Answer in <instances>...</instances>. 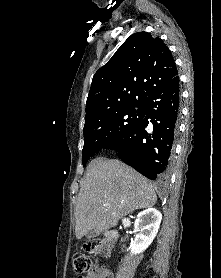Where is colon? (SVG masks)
Wrapping results in <instances>:
<instances>
[{"label":"colon","instance_id":"obj_1","mask_svg":"<svg viewBox=\"0 0 221 278\" xmlns=\"http://www.w3.org/2000/svg\"><path fill=\"white\" fill-rule=\"evenodd\" d=\"M111 243L110 240H95L86 245V250L89 252H100L105 247L109 246ZM72 266L75 273L79 274V278H84L90 276L95 271V265L93 264L90 257L84 254H75L72 257Z\"/></svg>","mask_w":221,"mask_h":278}]
</instances>
